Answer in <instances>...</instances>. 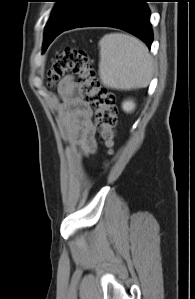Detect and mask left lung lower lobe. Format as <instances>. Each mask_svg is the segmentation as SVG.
Here are the masks:
<instances>
[{
  "mask_svg": "<svg viewBox=\"0 0 195 299\" xmlns=\"http://www.w3.org/2000/svg\"><path fill=\"white\" fill-rule=\"evenodd\" d=\"M146 2L148 0H88L82 11L68 26L52 32L49 44L65 30L77 27L107 26L135 35L150 48L153 33Z\"/></svg>",
  "mask_w": 195,
  "mask_h": 299,
  "instance_id": "0a47b994",
  "label": "left lung lower lobe"
}]
</instances>
